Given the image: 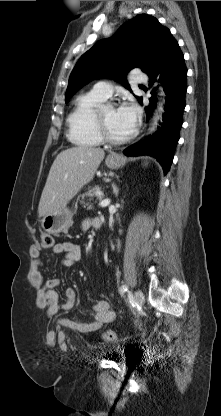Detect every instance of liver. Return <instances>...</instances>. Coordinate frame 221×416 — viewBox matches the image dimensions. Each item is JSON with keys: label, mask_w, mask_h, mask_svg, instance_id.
Listing matches in <instances>:
<instances>
[{"label": "liver", "mask_w": 221, "mask_h": 416, "mask_svg": "<svg viewBox=\"0 0 221 416\" xmlns=\"http://www.w3.org/2000/svg\"><path fill=\"white\" fill-rule=\"evenodd\" d=\"M105 152L100 148L77 146L60 152L55 158L40 198L39 216L53 214L90 182Z\"/></svg>", "instance_id": "obj_1"}]
</instances>
